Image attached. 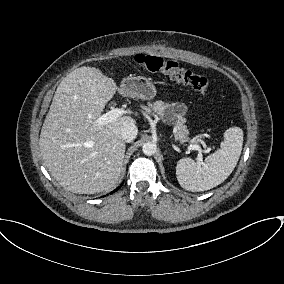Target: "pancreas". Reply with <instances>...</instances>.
<instances>
[{
    "instance_id": "pancreas-1",
    "label": "pancreas",
    "mask_w": 284,
    "mask_h": 284,
    "mask_svg": "<svg viewBox=\"0 0 284 284\" xmlns=\"http://www.w3.org/2000/svg\"><path fill=\"white\" fill-rule=\"evenodd\" d=\"M182 106L184 108L183 112L177 113L178 107ZM146 111L150 115H158L162 121L166 124H174L177 129L175 138L181 143L188 141L189 131L185 126L186 119L183 117L187 111V107L180 103H168L162 100H157L153 103H148Z\"/></svg>"
}]
</instances>
